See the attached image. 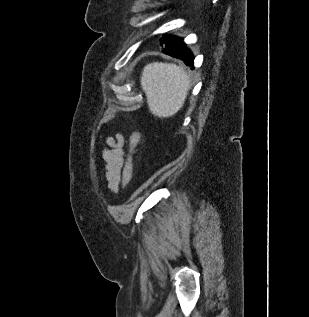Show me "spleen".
<instances>
[{
  "label": "spleen",
  "mask_w": 309,
  "mask_h": 317,
  "mask_svg": "<svg viewBox=\"0 0 309 317\" xmlns=\"http://www.w3.org/2000/svg\"><path fill=\"white\" fill-rule=\"evenodd\" d=\"M140 82L150 111L160 118L176 114L183 107L190 89V78L184 69L170 63L146 65Z\"/></svg>",
  "instance_id": "obj_1"
}]
</instances>
